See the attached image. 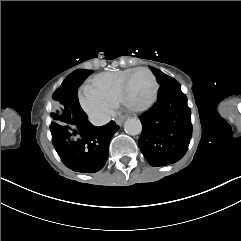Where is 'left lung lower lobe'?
I'll use <instances>...</instances> for the list:
<instances>
[{
	"instance_id": "obj_1",
	"label": "left lung lower lobe",
	"mask_w": 241,
	"mask_h": 241,
	"mask_svg": "<svg viewBox=\"0 0 241 241\" xmlns=\"http://www.w3.org/2000/svg\"><path fill=\"white\" fill-rule=\"evenodd\" d=\"M190 115L180 84L161 85L156 104L140 116L139 147L150 165L172 164L184 156L192 136Z\"/></svg>"
}]
</instances>
